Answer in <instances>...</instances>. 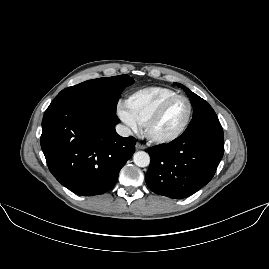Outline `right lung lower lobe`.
<instances>
[{
  "instance_id": "98d812e1",
  "label": "right lung lower lobe",
  "mask_w": 269,
  "mask_h": 269,
  "mask_svg": "<svg viewBox=\"0 0 269 269\" xmlns=\"http://www.w3.org/2000/svg\"><path fill=\"white\" fill-rule=\"evenodd\" d=\"M116 111L56 97L42 120L41 148L53 176L78 195L109 191L135 152L136 139L115 131Z\"/></svg>"
}]
</instances>
